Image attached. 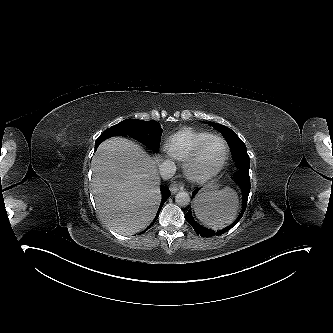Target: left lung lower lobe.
<instances>
[{
    "label": "left lung lower lobe",
    "mask_w": 333,
    "mask_h": 333,
    "mask_svg": "<svg viewBox=\"0 0 333 333\" xmlns=\"http://www.w3.org/2000/svg\"><path fill=\"white\" fill-rule=\"evenodd\" d=\"M250 167V165H249ZM235 179V177H234ZM235 181L239 184V186L242 189V193H243V203H242V211L241 214L239 215V217L228 227L219 230L217 232H214L212 230H209L205 227H202L201 225L197 224L192 215H191V210H189L186 214H185V219L186 221L193 227L194 231L202 236V237H212L214 235H221L225 232H227L228 230H230L231 228H233L237 222L241 219L242 214L244 213L245 209H246V204H247V200H248V195L250 192V179H249V173H244L242 174L239 178L235 179ZM198 192V189L195 190L192 195L195 196L196 193Z\"/></svg>",
    "instance_id": "0a47b994"
}]
</instances>
